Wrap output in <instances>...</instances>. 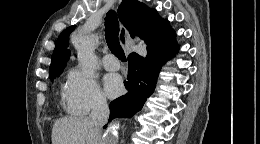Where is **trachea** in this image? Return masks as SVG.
Segmentation results:
<instances>
[{
    "label": "trachea",
    "instance_id": "1",
    "mask_svg": "<svg viewBox=\"0 0 260 144\" xmlns=\"http://www.w3.org/2000/svg\"><path fill=\"white\" fill-rule=\"evenodd\" d=\"M119 22L115 11L110 10L105 17V38L110 51L122 62L126 57L122 47L119 44Z\"/></svg>",
    "mask_w": 260,
    "mask_h": 144
}]
</instances>
